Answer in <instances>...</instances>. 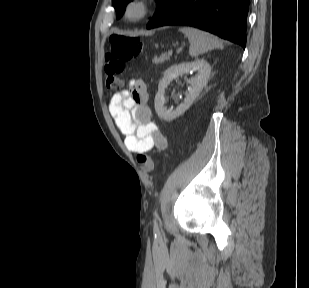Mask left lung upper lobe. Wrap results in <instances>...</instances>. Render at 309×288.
Wrapping results in <instances>:
<instances>
[{"mask_svg": "<svg viewBox=\"0 0 309 288\" xmlns=\"http://www.w3.org/2000/svg\"><path fill=\"white\" fill-rule=\"evenodd\" d=\"M132 0H112V4L117 12V18H120L124 13L126 5ZM172 0H156L157 10L155 16L164 10Z\"/></svg>", "mask_w": 309, "mask_h": 288, "instance_id": "5c2ea615", "label": "left lung upper lobe"}]
</instances>
